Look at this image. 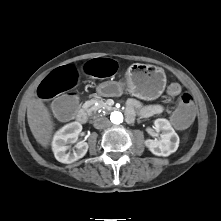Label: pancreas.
Here are the masks:
<instances>
[{"label":"pancreas","instance_id":"1","mask_svg":"<svg viewBox=\"0 0 221 221\" xmlns=\"http://www.w3.org/2000/svg\"><path fill=\"white\" fill-rule=\"evenodd\" d=\"M96 102H99V106L94 105ZM106 106L107 105L103 99L95 98V99L88 101L84 105V109L88 112V114H92L93 112H96L101 108H105Z\"/></svg>","mask_w":221,"mask_h":221}]
</instances>
